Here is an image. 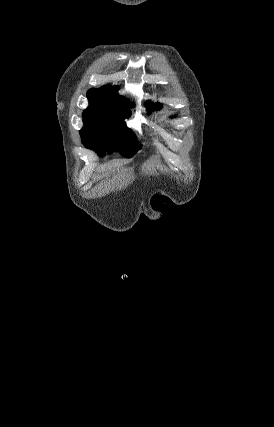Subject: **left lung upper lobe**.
Segmentation results:
<instances>
[{
    "label": "left lung upper lobe",
    "instance_id": "left-lung-upper-lobe-1",
    "mask_svg": "<svg viewBox=\"0 0 274 427\" xmlns=\"http://www.w3.org/2000/svg\"><path fill=\"white\" fill-rule=\"evenodd\" d=\"M160 108H161V105L159 103H156V104L150 103L148 111L152 112L155 109H160Z\"/></svg>",
    "mask_w": 274,
    "mask_h": 427
}]
</instances>
